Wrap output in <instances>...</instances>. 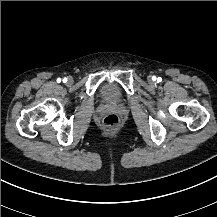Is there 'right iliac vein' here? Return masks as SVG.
<instances>
[{
  "label": "right iliac vein",
  "instance_id": "1",
  "mask_svg": "<svg viewBox=\"0 0 217 217\" xmlns=\"http://www.w3.org/2000/svg\"><path fill=\"white\" fill-rule=\"evenodd\" d=\"M72 83H73V79H72V78H68L67 84H68V85H71Z\"/></svg>",
  "mask_w": 217,
  "mask_h": 217
}]
</instances>
